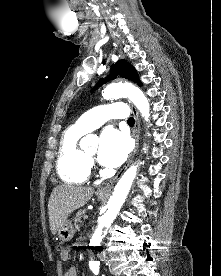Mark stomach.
Masks as SVG:
<instances>
[{"label": "stomach", "instance_id": "stomach-1", "mask_svg": "<svg viewBox=\"0 0 221 276\" xmlns=\"http://www.w3.org/2000/svg\"><path fill=\"white\" fill-rule=\"evenodd\" d=\"M99 200H104L106 195L97 194ZM75 234L72 222L70 220H66L58 230L59 239L63 242L70 241Z\"/></svg>", "mask_w": 221, "mask_h": 276}]
</instances>
